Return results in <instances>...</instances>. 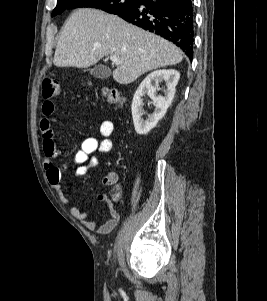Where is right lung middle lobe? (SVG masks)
I'll return each instance as SVG.
<instances>
[{
  "label": "right lung middle lobe",
  "instance_id": "1",
  "mask_svg": "<svg viewBox=\"0 0 267 301\" xmlns=\"http://www.w3.org/2000/svg\"><path fill=\"white\" fill-rule=\"evenodd\" d=\"M138 0H58L52 17L65 9L74 7L96 8L112 14L123 13L131 9Z\"/></svg>",
  "mask_w": 267,
  "mask_h": 301
}]
</instances>
